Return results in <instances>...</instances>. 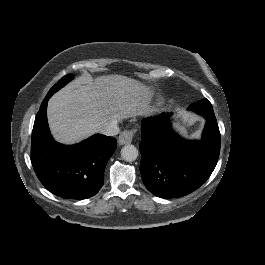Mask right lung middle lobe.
Instances as JSON below:
<instances>
[{
    "mask_svg": "<svg viewBox=\"0 0 265 265\" xmlns=\"http://www.w3.org/2000/svg\"><path fill=\"white\" fill-rule=\"evenodd\" d=\"M74 78V75L68 74L64 77H62L48 92L46 96L51 97L55 92H57L60 88L65 86L69 81H71Z\"/></svg>",
    "mask_w": 265,
    "mask_h": 265,
    "instance_id": "dd1d6c3e",
    "label": "right lung middle lobe"
}]
</instances>
